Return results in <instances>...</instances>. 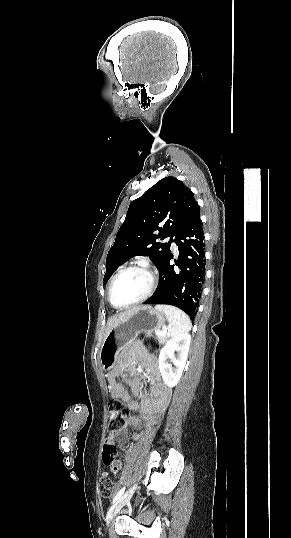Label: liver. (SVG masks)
Masks as SVG:
<instances>
[{
  "mask_svg": "<svg viewBox=\"0 0 291 538\" xmlns=\"http://www.w3.org/2000/svg\"><path fill=\"white\" fill-rule=\"evenodd\" d=\"M140 307H135V308H132L130 310H127L125 312H122L120 314H116L112 317H110L107 321V324H106V329H105V337L111 332V330L117 326L118 324H120L121 322H123L124 320H126L132 313H134L136 310H138Z\"/></svg>",
  "mask_w": 291,
  "mask_h": 538,
  "instance_id": "1",
  "label": "liver"
}]
</instances>
